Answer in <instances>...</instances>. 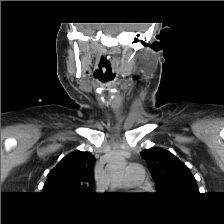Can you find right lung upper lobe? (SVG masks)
Returning <instances> with one entry per match:
<instances>
[{"label": "right lung upper lobe", "mask_w": 224, "mask_h": 224, "mask_svg": "<svg viewBox=\"0 0 224 224\" xmlns=\"http://www.w3.org/2000/svg\"><path fill=\"white\" fill-rule=\"evenodd\" d=\"M94 156L85 151L66 155L47 176L43 192L51 194L91 193L94 185Z\"/></svg>", "instance_id": "right-lung-upper-lobe-1"}]
</instances>
